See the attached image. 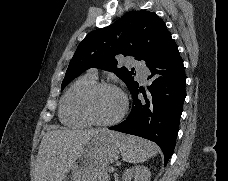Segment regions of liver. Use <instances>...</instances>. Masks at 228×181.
Here are the masks:
<instances>
[{"label": "liver", "mask_w": 228, "mask_h": 181, "mask_svg": "<svg viewBox=\"0 0 228 181\" xmlns=\"http://www.w3.org/2000/svg\"><path fill=\"white\" fill-rule=\"evenodd\" d=\"M100 131L102 129L48 131L40 143L35 163L36 181H63L77 153L90 141L94 133Z\"/></svg>", "instance_id": "liver-1"}]
</instances>
